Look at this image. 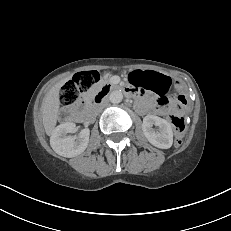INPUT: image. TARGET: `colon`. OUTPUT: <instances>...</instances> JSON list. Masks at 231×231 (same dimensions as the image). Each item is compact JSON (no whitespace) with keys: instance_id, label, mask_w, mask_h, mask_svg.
Listing matches in <instances>:
<instances>
[{"instance_id":"obj_1","label":"colon","mask_w":231,"mask_h":231,"mask_svg":"<svg viewBox=\"0 0 231 231\" xmlns=\"http://www.w3.org/2000/svg\"><path fill=\"white\" fill-rule=\"evenodd\" d=\"M101 78L102 75L97 71H86L77 74L72 81L67 82L62 87L60 93L61 105L63 107H69L74 104L83 93L99 82ZM143 79L144 77L136 72H133L130 76V81L136 86H140ZM167 103L168 101L166 98H160L159 105L164 106ZM186 106V97L183 95L178 96L177 107L185 109ZM170 120L175 131V144L180 145L186 128L185 119L180 115L172 114Z\"/></svg>"}]
</instances>
